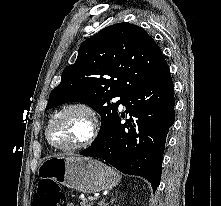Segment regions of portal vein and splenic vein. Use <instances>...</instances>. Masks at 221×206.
<instances>
[{"label": "portal vein and splenic vein", "instance_id": "portal-vein-and-splenic-vein-1", "mask_svg": "<svg viewBox=\"0 0 221 206\" xmlns=\"http://www.w3.org/2000/svg\"><path fill=\"white\" fill-rule=\"evenodd\" d=\"M89 200L93 201V200H95V198H93V197H89Z\"/></svg>", "mask_w": 221, "mask_h": 206}]
</instances>
